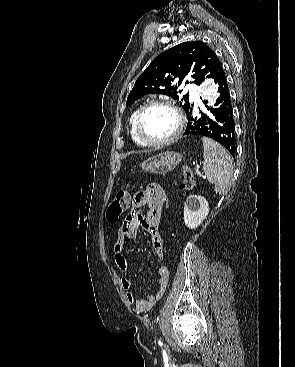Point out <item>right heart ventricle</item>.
Masks as SVG:
<instances>
[{
    "mask_svg": "<svg viewBox=\"0 0 295 367\" xmlns=\"http://www.w3.org/2000/svg\"><path fill=\"white\" fill-rule=\"evenodd\" d=\"M138 110L134 111L130 118H129V127H130V135L132 140L139 146H144V144L141 143V141L138 139L136 133H135V118L137 115Z\"/></svg>",
    "mask_w": 295,
    "mask_h": 367,
    "instance_id": "obj_1",
    "label": "right heart ventricle"
}]
</instances>
